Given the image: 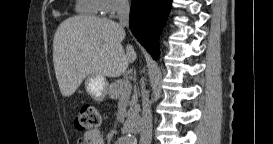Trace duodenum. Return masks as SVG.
<instances>
[{
	"label": "duodenum",
	"instance_id": "obj_1",
	"mask_svg": "<svg viewBox=\"0 0 273 144\" xmlns=\"http://www.w3.org/2000/svg\"><path fill=\"white\" fill-rule=\"evenodd\" d=\"M124 129L127 133L137 134L139 131L138 122L136 120H126L124 122Z\"/></svg>",
	"mask_w": 273,
	"mask_h": 144
}]
</instances>
